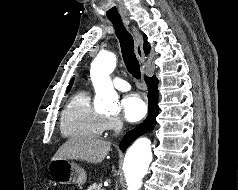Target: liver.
<instances>
[{
  "mask_svg": "<svg viewBox=\"0 0 238 190\" xmlns=\"http://www.w3.org/2000/svg\"><path fill=\"white\" fill-rule=\"evenodd\" d=\"M110 142L95 138L71 137L52 157L55 160H80L101 163L110 151Z\"/></svg>",
  "mask_w": 238,
  "mask_h": 190,
  "instance_id": "1",
  "label": "liver"
}]
</instances>
